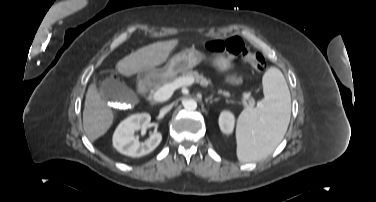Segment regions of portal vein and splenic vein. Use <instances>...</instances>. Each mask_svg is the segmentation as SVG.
<instances>
[{"label": "portal vein and splenic vein", "mask_w": 376, "mask_h": 202, "mask_svg": "<svg viewBox=\"0 0 376 202\" xmlns=\"http://www.w3.org/2000/svg\"><path fill=\"white\" fill-rule=\"evenodd\" d=\"M192 84H194V79L193 78H190V77L178 78L174 82H172L170 84H166V85L162 86L161 88H159L153 94V99L156 102H164V101L168 100L172 96L173 92L177 88H180L182 86H190ZM249 96H250L249 93H245L244 94L245 98H248Z\"/></svg>", "instance_id": "18ae733b"}]
</instances>
